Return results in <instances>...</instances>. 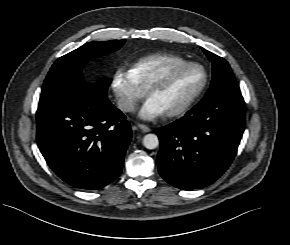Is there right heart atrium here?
Wrapping results in <instances>:
<instances>
[{"mask_svg": "<svg viewBox=\"0 0 290 245\" xmlns=\"http://www.w3.org/2000/svg\"><path fill=\"white\" fill-rule=\"evenodd\" d=\"M111 87L117 106L123 112L133 111L145 94V90L139 86L132 72L125 68H119L115 71Z\"/></svg>", "mask_w": 290, "mask_h": 245, "instance_id": "obj_1", "label": "right heart atrium"}]
</instances>
